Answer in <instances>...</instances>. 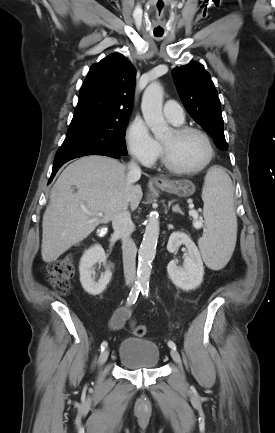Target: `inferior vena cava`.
<instances>
[{
  "label": "inferior vena cava",
  "mask_w": 275,
  "mask_h": 433,
  "mask_svg": "<svg viewBox=\"0 0 275 433\" xmlns=\"http://www.w3.org/2000/svg\"><path fill=\"white\" fill-rule=\"evenodd\" d=\"M141 177V169L134 160L128 164V184L139 180ZM114 234L119 236L122 241L123 250V267L126 282L131 285L136 280V253L137 248L131 238L134 231V224L131 220V214L127 209V204L124 205L112 219Z\"/></svg>",
  "instance_id": "1"
}]
</instances>
